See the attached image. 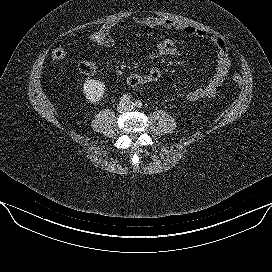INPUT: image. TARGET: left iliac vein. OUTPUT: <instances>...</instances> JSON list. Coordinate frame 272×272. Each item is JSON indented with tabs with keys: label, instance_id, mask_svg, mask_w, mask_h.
Returning a JSON list of instances; mask_svg holds the SVG:
<instances>
[{
	"label": "left iliac vein",
	"instance_id": "left-iliac-vein-1",
	"mask_svg": "<svg viewBox=\"0 0 272 272\" xmlns=\"http://www.w3.org/2000/svg\"><path fill=\"white\" fill-rule=\"evenodd\" d=\"M134 108H135V105H134L133 102H128V103H127V110H132V109H134Z\"/></svg>",
	"mask_w": 272,
	"mask_h": 272
}]
</instances>
